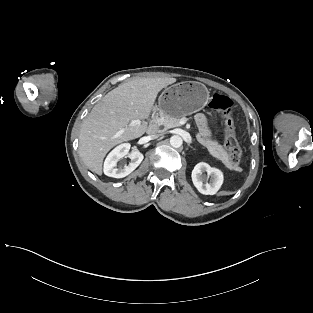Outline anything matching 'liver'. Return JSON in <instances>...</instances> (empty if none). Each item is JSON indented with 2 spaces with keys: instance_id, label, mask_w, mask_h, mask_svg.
I'll return each mask as SVG.
<instances>
[{
  "instance_id": "1",
  "label": "liver",
  "mask_w": 313,
  "mask_h": 313,
  "mask_svg": "<svg viewBox=\"0 0 313 313\" xmlns=\"http://www.w3.org/2000/svg\"><path fill=\"white\" fill-rule=\"evenodd\" d=\"M176 82L175 78H139L107 93L83 121L79 154L94 173L102 174L103 160L114 146L141 137L147 130L158 93ZM141 123L133 125L132 121ZM119 133V135H117Z\"/></svg>"
}]
</instances>
